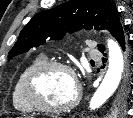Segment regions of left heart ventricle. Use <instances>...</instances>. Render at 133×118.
Wrapping results in <instances>:
<instances>
[{
	"label": "left heart ventricle",
	"instance_id": "obj_1",
	"mask_svg": "<svg viewBox=\"0 0 133 118\" xmlns=\"http://www.w3.org/2000/svg\"><path fill=\"white\" fill-rule=\"evenodd\" d=\"M38 94L49 106L68 104L75 96V83L72 76L64 70L47 72L40 80Z\"/></svg>",
	"mask_w": 133,
	"mask_h": 118
}]
</instances>
